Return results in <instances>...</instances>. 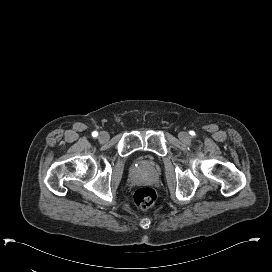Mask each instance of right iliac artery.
<instances>
[{
    "mask_svg": "<svg viewBox=\"0 0 272 272\" xmlns=\"http://www.w3.org/2000/svg\"><path fill=\"white\" fill-rule=\"evenodd\" d=\"M92 136L93 137H97L98 136V132H96V131L92 132Z\"/></svg>",
    "mask_w": 272,
    "mask_h": 272,
    "instance_id": "1",
    "label": "right iliac artery"
}]
</instances>
